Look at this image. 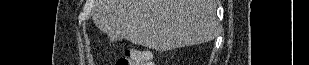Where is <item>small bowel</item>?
<instances>
[{
    "label": "small bowel",
    "instance_id": "obj_1",
    "mask_svg": "<svg viewBox=\"0 0 309 65\" xmlns=\"http://www.w3.org/2000/svg\"><path fill=\"white\" fill-rule=\"evenodd\" d=\"M151 58L152 57H150L149 59L145 60L144 63H150L151 62Z\"/></svg>",
    "mask_w": 309,
    "mask_h": 65
}]
</instances>
